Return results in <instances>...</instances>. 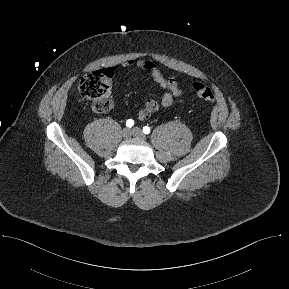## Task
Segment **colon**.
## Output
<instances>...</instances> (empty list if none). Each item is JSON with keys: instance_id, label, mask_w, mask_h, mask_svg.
I'll return each mask as SVG.
<instances>
[{"instance_id": "obj_1", "label": "colon", "mask_w": 289, "mask_h": 289, "mask_svg": "<svg viewBox=\"0 0 289 289\" xmlns=\"http://www.w3.org/2000/svg\"><path fill=\"white\" fill-rule=\"evenodd\" d=\"M112 76L113 71L111 69L98 70L85 75L79 83L80 94L90 101L95 112H107L113 107L110 98ZM192 88L199 98L208 102L215 100L213 90L203 83L195 81L192 83Z\"/></svg>"}]
</instances>
